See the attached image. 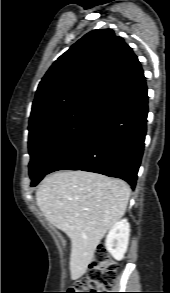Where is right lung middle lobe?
<instances>
[{
  "label": "right lung middle lobe",
  "mask_w": 170,
  "mask_h": 293,
  "mask_svg": "<svg viewBox=\"0 0 170 293\" xmlns=\"http://www.w3.org/2000/svg\"><path fill=\"white\" fill-rule=\"evenodd\" d=\"M103 106L82 103L66 108L29 128V175L36 186L52 164L74 144L100 114Z\"/></svg>",
  "instance_id": "right-lung-middle-lobe-1"
}]
</instances>
